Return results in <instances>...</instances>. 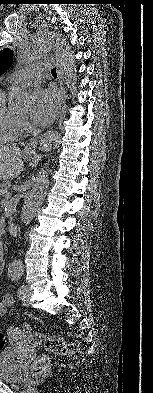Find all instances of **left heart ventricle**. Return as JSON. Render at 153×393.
Wrapping results in <instances>:
<instances>
[{
  "instance_id": "left-heart-ventricle-1",
  "label": "left heart ventricle",
  "mask_w": 153,
  "mask_h": 393,
  "mask_svg": "<svg viewBox=\"0 0 153 393\" xmlns=\"http://www.w3.org/2000/svg\"><path fill=\"white\" fill-rule=\"evenodd\" d=\"M20 118H21V119H26V118H27V115H20Z\"/></svg>"
}]
</instances>
